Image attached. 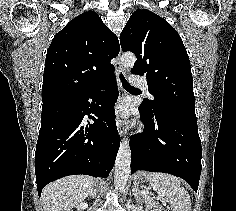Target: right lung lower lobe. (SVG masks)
<instances>
[{
  "label": "right lung lower lobe",
  "instance_id": "obj_1",
  "mask_svg": "<svg viewBox=\"0 0 236 211\" xmlns=\"http://www.w3.org/2000/svg\"><path fill=\"white\" fill-rule=\"evenodd\" d=\"M117 97L113 74L90 92L43 102L35 152L39 196L45 185L64 176L108 177L120 145L114 114ZM86 115L94 123H86Z\"/></svg>",
  "mask_w": 236,
  "mask_h": 211
}]
</instances>
